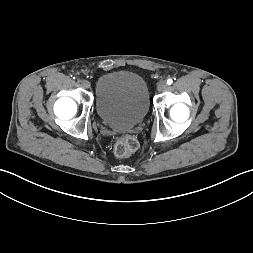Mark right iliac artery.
Masks as SVG:
<instances>
[{"instance_id":"right-iliac-artery-1","label":"right iliac artery","mask_w":253,"mask_h":253,"mask_svg":"<svg viewBox=\"0 0 253 253\" xmlns=\"http://www.w3.org/2000/svg\"><path fill=\"white\" fill-rule=\"evenodd\" d=\"M77 81L80 82V83H82L84 80L83 79H78Z\"/></svg>"}]
</instances>
